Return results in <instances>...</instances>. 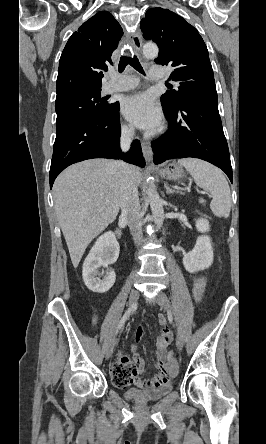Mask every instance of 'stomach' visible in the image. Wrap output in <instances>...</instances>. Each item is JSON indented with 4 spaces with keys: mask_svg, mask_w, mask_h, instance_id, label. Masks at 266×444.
Segmentation results:
<instances>
[{
    "mask_svg": "<svg viewBox=\"0 0 266 444\" xmlns=\"http://www.w3.org/2000/svg\"><path fill=\"white\" fill-rule=\"evenodd\" d=\"M160 175L169 180H179L185 176L182 166L171 163L160 170Z\"/></svg>",
    "mask_w": 266,
    "mask_h": 444,
    "instance_id": "1",
    "label": "stomach"
}]
</instances>
